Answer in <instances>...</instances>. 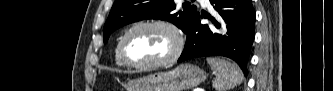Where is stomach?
<instances>
[{"instance_id": "0dacf381", "label": "stomach", "mask_w": 333, "mask_h": 91, "mask_svg": "<svg viewBox=\"0 0 333 91\" xmlns=\"http://www.w3.org/2000/svg\"><path fill=\"white\" fill-rule=\"evenodd\" d=\"M206 79V73L193 64H182L168 72H158L130 80L127 91H185Z\"/></svg>"}]
</instances>
